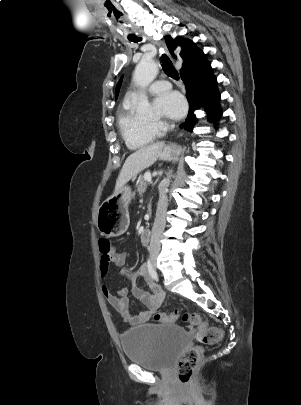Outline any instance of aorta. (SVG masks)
Instances as JSON below:
<instances>
[{
  "instance_id": "1",
  "label": "aorta",
  "mask_w": 301,
  "mask_h": 405,
  "mask_svg": "<svg viewBox=\"0 0 301 405\" xmlns=\"http://www.w3.org/2000/svg\"><path fill=\"white\" fill-rule=\"evenodd\" d=\"M158 65L152 59H142L136 66L133 74V80L138 87H147L158 74ZM137 112L146 115L151 112V106L148 97L142 93L137 104Z\"/></svg>"
}]
</instances>
